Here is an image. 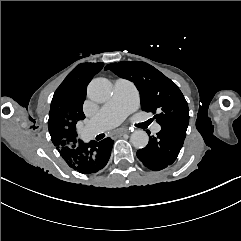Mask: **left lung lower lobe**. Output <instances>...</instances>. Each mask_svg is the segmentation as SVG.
I'll use <instances>...</instances> for the list:
<instances>
[{
  "label": "left lung lower lobe",
  "mask_w": 241,
  "mask_h": 241,
  "mask_svg": "<svg viewBox=\"0 0 241 241\" xmlns=\"http://www.w3.org/2000/svg\"><path fill=\"white\" fill-rule=\"evenodd\" d=\"M188 124L169 122L161 125L157 137H149L148 145L137 151L139 160L151 170H162L177 158L186 137Z\"/></svg>",
  "instance_id": "obj_1"
}]
</instances>
